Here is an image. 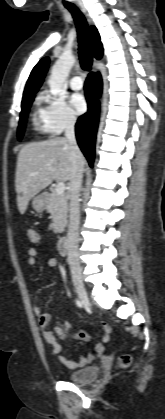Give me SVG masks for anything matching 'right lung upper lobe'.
<instances>
[{"mask_svg": "<svg viewBox=\"0 0 165 419\" xmlns=\"http://www.w3.org/2000/svg\"><path fill=\"white\" fill-rule=\"evenodd\" d=\"M90 31H91L93 54L97 59H100L102 57L103 49H102V44L100 41L99 33L95 26H91ZM48 65H49V59L43 58L33 68L28 78V81L26 83L22 101L35 95V93L38 91V89L40 88L43 82L45 74L47 72Z\"/></svg>", "mask_w": 165, "mask_h": 419, "instance_id": "right-lung-upper-lobe-1", "label": "right lung upper lobe"}]
</instances>
